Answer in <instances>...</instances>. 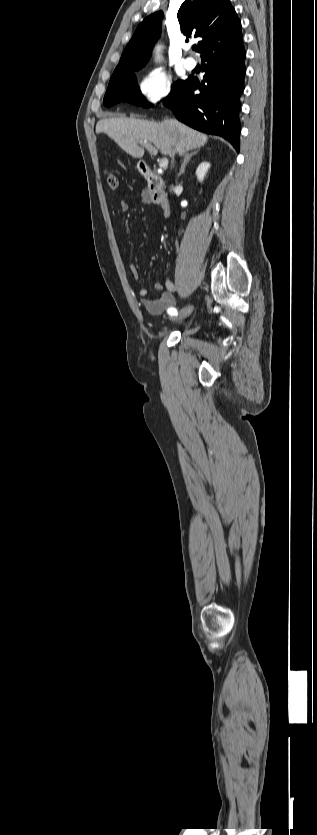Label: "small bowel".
<instances>
[{"label":"small bowel","mask_w":317,"mask_h":835,"mask_svg":"<svg viewBox=\"0 0 317 835\" xmlns=\"http://www.w3.org/2000/svg\"><path fill=\"white\" fill-rule=\"evenodd\" d=\"M138 200L140 202H145L147 200V195L145 193L141 194L138 196ZM129 209V203L126 200H122L120 203V210L122 212H127ZM130 272L135 280L139 278V269L136 264H132L130 266ZM154 289L161 292L155 299L146 298V295L148 294V289L146 287L142 286L138 290V294L141 297V304L149 314L158 315L165 310L174 308V292L176 290V286L172 280L166 279L164 283L155 282Z\"/></svg>","instance_id":"1"}]
</instances>
